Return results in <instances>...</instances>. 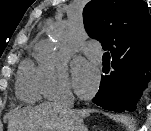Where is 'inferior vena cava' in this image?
Returning <instances> with one entry per match:
<instances>
[{
    "instance_id": "1",
    "label": "inferior vena cava",
    "mask_w": 151,
    "mask_h": 131,
    "mask_svg": "<svg viewBox=\"0 0 151 131\" xmlns=\"http://www.w3.org/2000/svg\"><path fill=\"white\" fill-rule=\"evenodd\" d=\"M54 103L63 110L70 109L73 106L71 93L68 90H62L61 95L56 98Z\"/></svg>"
}]
</instances>
